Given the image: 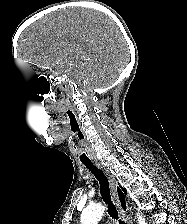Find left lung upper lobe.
<instances>
[{
    "mask_svg": "<svg viewBox=\"0 0 187 224\" xmlns=\"http://www.w3.org/2000/svg\"><path fill=\"white\" fill-rule=\"evenodd\" d=\"M123 191L126 193V190L125 189H123Z\"/></svg>",
    "mask_w": 187,
    "mask_h": 224,
    "instance_id": "obj_1",
    "label": "left lung upper lobe"
}]
</instances>
